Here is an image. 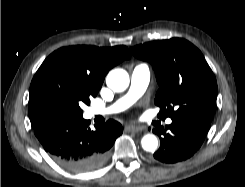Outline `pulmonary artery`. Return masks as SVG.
Segmentation results:
<instances>
[{
  "instance_id": "pulmonary-artery-1",
  "label": "pulmonary artery",
  "mask_w": 245,
  "mask_h": 187,
  "mask_svg": "<svg viewBox=\"0 0 245 187\" xmlns=\"http://www.w3.org/2000/svg\"><path fill=\"white\" fill-rule=\"evenodd\" d=\"M150 81V68L146 63H140L136 65L131 73V82L128 93L120 98L117 102L104 109H91L89 114L95 115H110L120 112L129 107L134 101H136L146 90ZM171 119L167 120L170 124Z\"/></svg>"
}]
</instances>
